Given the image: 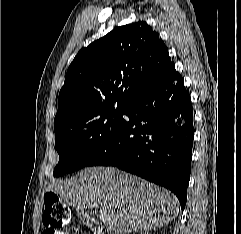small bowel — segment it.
<instances>
[{"label": "small bowel", "mask_w": 241, "mask_h": 234, "mask_svg": "<svg viewBox=\"0 0 241 234\" xmlns=\"http://www.w3.org/2000/svg\"><path fill=\"white\" fill-rule=\"evenodd\" d=\"M42 234H68V233L64 232V231H59V230H48V229H45Z\"/></svg>", "instance_id": "1"}]
</instances>
